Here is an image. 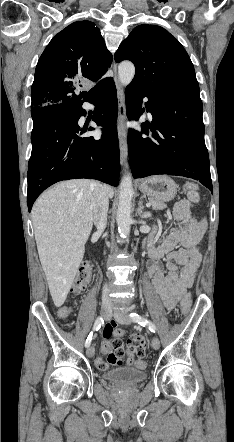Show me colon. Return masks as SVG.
I'll return each instance as SVG.
<instances>
[{
  "label": "colon",
  "instance_id": "obj_1",
  "mask_svg": "<svg viewBox=\"0 0 234 442\" xmlns=\"http://www.w3.org/2000/svg\"><path fill=\"white\" fill-rule=\"evenodd\" d=\"M198 185L194 182H187L183 190L187 194V196H198ZM92 275V266L89 263H85L81 266L79 269L74 285H73V291L75 293H79L86 287L87 283L89 282ZM191 296L189 293H186L182 302H181V312L187 313L191 307ZM72 314V308L69 305H63L57 310V316L61 319L68 318ZM139 342V341H138ZM144 342V341H142ZM137 344V342H136ZM135 344V348H136ZM124 354L123 349L120 350H114V349H107L104 352V355L107 359V363L111 364L112 367L120 368L122 366L121 358ZM97 365L103 369L106 370L108 368V365L104 363L101 358L96 359ZM134 368L136 370L142 371L145 368V362L142 359L138 360V363L134 365Z\"/></svg>",
  "mask_w": 234,
  "mask_h": 442
}]
</instances>
